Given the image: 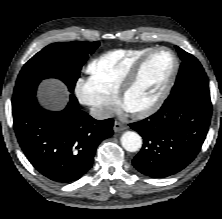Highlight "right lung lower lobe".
I'll use <instances>...</instances> for the list:
<instances>
[{"label":"right lung lower lobe","mask_w":222,"mask_h":219,"mask_svg":"<svg viewBox=\"0 0 222 219\" xmlns=\"http://www.w3.org/2000/svg\"><path fill=\"white\" fill-rule=\"evenodd\" d=\"M12 111L27 159L42 175L59 183L81 178L92 167L99 143L113 134V119L95 120L78 108L73 95L60 112L42 109L35 97L13 105Z\"/></svg>","instance_id":"98d812e1"}]
</instances>
